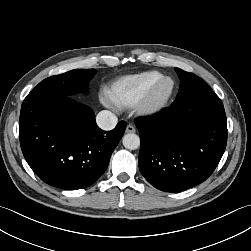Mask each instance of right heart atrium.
<instances>
[{
    "label": "right heart atrium",
    "instance_id": "1",
    "mask_svg": "<svg viewBox=\"0 0 251 251\" xmlns=\"http://www.w3.org/2000/svg\"><path fill=\"white\" fill-rule=\"evenodd\" d=\"M103 101H104V102H108V100H107L106 97H103Z\"/></svg>",
    "mask_w": 251,
    "mask_h": 251
}]
</instances>
